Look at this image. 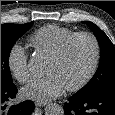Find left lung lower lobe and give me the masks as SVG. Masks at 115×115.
I'll list each match as a JSON object with an SVG mask.
<instances>
[{
  "mask_svg": "<svg viewBox=\"0 0 115 115\" xmlns=\"http://www.w3.org/2000/svg\"><path fill=\"white\" fill-rule=\"evenodd\" d=\"M64 105L65 115H115V91L84 98L71 96Z\"/></svg>",
  "mask_w": 115,
  "mask_h": 115,
  "instance_id": "obj_1",
  "label": "left lung lower lobe"
}]
</instances>
